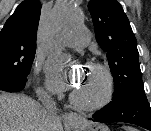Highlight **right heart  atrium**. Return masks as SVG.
I'll return each mask as SVG.
<instances>
[{
    "mask_svg": "<svg viewBox=\"0 0 151 131\" xmlns=\"http://www.w3.org/2000/svg\"><path fill=\"white\" fill-rule=\"evenodd\" d=\"M38 92H39L41 95H44V94H45L44 90L41 89V88H39Z\"/></svg>",
    "mask_w": 151,
    "mask_h": 131,
    "instance_id": "obj_1",
    "label": "right heart atrium"
}]
</instances>
